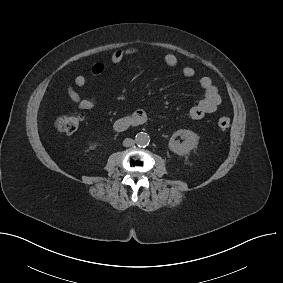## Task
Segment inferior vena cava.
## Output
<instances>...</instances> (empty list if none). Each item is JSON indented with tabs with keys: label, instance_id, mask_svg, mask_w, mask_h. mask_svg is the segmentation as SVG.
Returning <instances> with one entry per match:
<instances>
[{
	"label": "inferior vena cava",
	"instance_id": "obj_1",
	"mask_svg": "<svg viewBox=\"0 0 283 283\" xmlns=\"http://www.w3.org/2000/svg\"><path fill=\"white\" fill-rule=\"evenodd\" d=\"M134 144H135V141L133 139H131V138H126L123 141V146H125V147H131Z\"/></svg>",
	"mask_w": 283,
	"mask_h": 283
}]
</instances>
